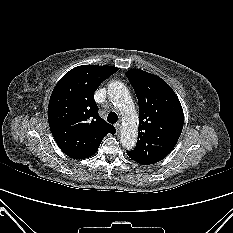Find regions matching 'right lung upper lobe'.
I'll return each mask as SVG.
<instances>
[{
	"mask_svg": "<svg viewBox=\"0 0 233 233\" xmlns=\"http://www.w3.org/2000/svg\"><path fill=\"white\" fill-rule=\"evenodd\" d=\"M119 69L113 66L83 65L67 72L56 84L48 105V121L59 148L73 159L94 155L114 126L98 114L94 92Z\"/></svg>",
	"mask_w": 233,
	"mask_h": 233,
	"instance_id": "cb5924a9",
	"label": "right lung upper lobe"
}]
</instances>
